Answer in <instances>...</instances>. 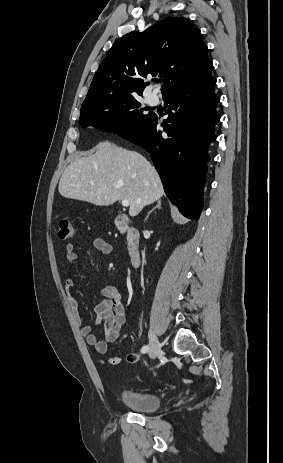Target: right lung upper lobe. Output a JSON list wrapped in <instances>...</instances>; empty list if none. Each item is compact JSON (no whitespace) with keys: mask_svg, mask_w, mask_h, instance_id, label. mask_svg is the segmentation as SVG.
Segmentation results:
<instances>
[{"mask_svg":"<svg viewBox=\"0 0 283 463\" xmlns=\"http://www.w3.org/2000/svg\"><path fill=\"white\" fill-rule=\"evenodd\" d=\"M200 30L184 17H167L144 32L133 31L118 39L98 70L83 102L107 97L142 95L148 76L163 78V95L211 76Z\"/></svg>","mask_w":283,"mask_h":463,"instance_id":"1","label":"right lung upper lobe"}]
</instances>
